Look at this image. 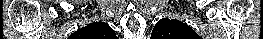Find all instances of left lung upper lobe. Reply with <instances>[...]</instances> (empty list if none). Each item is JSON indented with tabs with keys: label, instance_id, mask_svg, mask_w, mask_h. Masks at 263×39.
Here are the masks:
<instances>
[{
	"label": "left lung upper lobe",
	"instance_id": "5c2ea615",
	"mask_svg": "<svg viewBox=\"0 0 263 39\" xmlns=\"http://www.w3.org/2000/svg\"><path fill=\"white\" fill-rule=\"evenodd\" d=\"M151 39H202L187 24L163 18L158 21L152 31Z\"/></svg>",
	"mask_w": 263,
	"mask_h": 39
}]
</instances>
